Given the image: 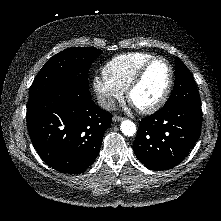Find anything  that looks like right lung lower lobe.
I'll list each match as a JSON object with an SVG mask.
<instances>
[{"instance_id": "right-lung-lower-lobe-1", "label": "right lung lower lobe", "mask_w": 221, "mask_h": 221, "mask_svg": "<svg viewBox=\"0 0 221 221\" xmlns=\"http://www.w3.org/2000/svg\"><path fill=\"white\" fill-rule=\"evenodd\" d=\"M32 144L42 160L67 174L84 172L99 154L112 115L99 108L87 87L64 84L27 107Z\"/></svg>"}]
</instances>
